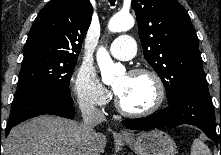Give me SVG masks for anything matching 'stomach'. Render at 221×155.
I'll list each match as a JSON object with an SVG mask.
<instances>
[{"label":"stomach","instance_id":"obj_1","mask_svg":"<svg viewBox=\"0 0 221 155\" xmlns=\"http://www.w3.org/2000/svg\"><path fill=\"white\" fill-rule=\"evenodd\" d=\"M136 155H176L174 140L161 130H150L122 137Z\"/></svg>","mask_w":221,"mask_h":155}]
</instances>
